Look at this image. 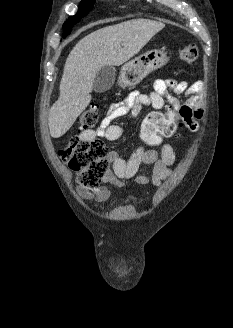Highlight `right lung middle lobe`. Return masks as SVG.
<instances>
[{
    "label": "right lung middle lobe",
    "mask_w": 233,
    "mask_h": 328,
    "mask_svg": "<svg viewBox=\"0 0 233 328\" xmlns=\"http://www.w3.org/2000/svg\"><path fill=\"white\" fill-rule=\"evenodd\" d=\"M93 4V0H83L80 2L77 14L70 17L69 20L64 23V34H69L71 32V28L74 26V24H76L82 17L87 15L88 11L91 10Z\"/></svg>",
    "instance_id": "dd1d6c3e"
}]
</instances>
